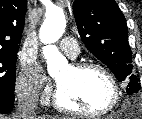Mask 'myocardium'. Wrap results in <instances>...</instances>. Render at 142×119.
Returning a JSON list of instances; mask_svg holds the SVG:
<instances>
[{"label": "myocardium", "mask_w": 142, "mask_h": 119, "mask_svg": "<svg viewBox=\"0 0 142 119\" xmlns=\"http://www.w3.org/2000/svg\"><path fill=\"white\" fill-rule=\"evenodd\" d=\"M71 68L76 72H82L85 70L94 69L104 74V76L108 79L111 86V91H112L111 99L109 103L101 110L93 111V112L81 111L63 104V102L60 99L59 89L57 87L53 97V104L57 109L65 113L81 116V117H101L110 113L112 110L116 108L120 100V88L115 76L106 66L98 62L80 61V62H75L71 64Z\"/></svg>", "instance_id": "f54148a6"}]
</instances>
